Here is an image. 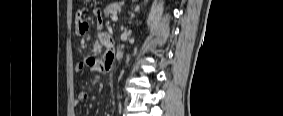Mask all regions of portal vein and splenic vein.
<instances>
[{"label":"portal vein and splenic vein","instance_id":"18ae733b","mask_svg":"<svg viewBox=\"0 0 283 116\" xmlns=\"http://www.w3.org/2000/svg\"><path fill=\"white\" fill-rule=\"evenodd\" d=\"M112 21L113 22H116V21H118V17H117V15L116 14H113V16H112Z\"/></svg>","mask_w":283,"mask_h":116}]
</instances>
